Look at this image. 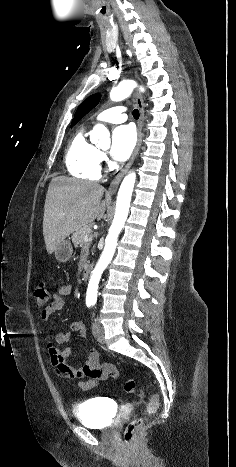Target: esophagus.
<instances>
[{
    "label": "esophagus",
    "instance_id": "esophagus-1",
    "mask_svg": "<svg viewBox=\"0 0 236 467\" xmlns=\"http://www.w3.org/2000/svg\"><path fill=\"white\" fill-rule=\"evenodd\" d=\"M135 77L136 78L138 77L137 72H135ZM135 98H136V105H137V107L139 109V112H140V117H139V120H138V123H137V134H138L137 144H136V147H135V149L133 151V154H132L129 162L126 164V166L117 174V176L110 183V186H109L108 191H107L108 194L116 193L122 178L124 177V175L127 173L129 168L133 164V162H134V160H135V158H136V156L138 154L140 145H141V141H142V125H143V121H144L145 104H144L143 98H142L140 93L136 92L135 93Z\"/></svg>",
    "mask_w": 236,
    "mask_h": 467
}]
</instances>
